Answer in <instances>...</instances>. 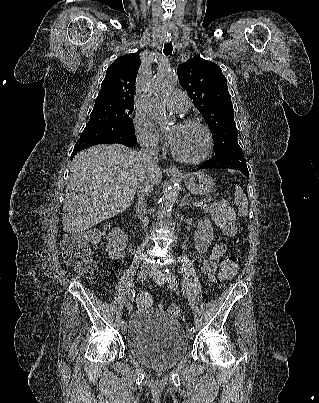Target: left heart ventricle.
Returning a JSON list of instances; mask_svg holds the SVG:
<instances>
[{
  "instance_id": "obj_1",
  "label": "left heart ventricle",
  "mask_w": 319,
  "mask_h": 403,
  "mask_svg": "<svg viewBox=\"0 0 319 403\" xmlns=\"http://www.w3.org/2000/svg\"><path fill=\"white\" fill-rule=\"evenodd\" d=\"M176 131V139L172 147L181 156L196 158L200 156L206 147V139L203 131L196 126L173 124L170 132Z\"/></svg>"
}]
</instances>
